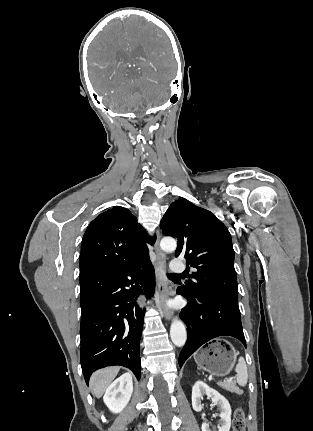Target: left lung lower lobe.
Masks as SVG:
<instances>
[{
  "label": "left lung lower lobe",
  "mask_w": 313,
  "mask_h": 431,
  "mask_svg": "<svg viewBox=\"0 0 313 431\" xmlns=\"http://www.w3.org/2000/svg\"><path fill=\"white\" fill-rule=\"evenodd\" d=\"M177 293L188 301L180 313L188 329L187 341L179 356L180 367L200 346L218 336L235 337L246 346L238 300L214 295L188 297L181 289Z\"/></svg>",
  "instance_id": "1"
}]
</instances>
